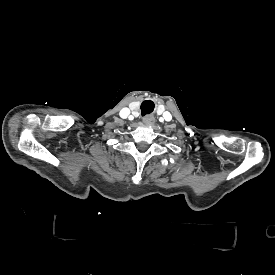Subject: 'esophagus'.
<instances>
[{
  "label": "esophagus",
  "instance_id": "esophagus-1",
  "mask_svg": "<svg viewBox=\"0 0 275 275\" xmlns=\"http://www.w3.org/2000/svg\"><path fill=\"white\" fill-rule=\"evenodd\" d=\"M145 125H153L155 123V117L152 115H146L142 119Z\"/></svg>",
  "mask_w": 275,
  "mask_h": 275
}]
</instances>
